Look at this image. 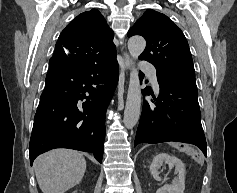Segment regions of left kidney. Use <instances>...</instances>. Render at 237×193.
I'll return each mask as SVG.
<instances>
[{"label":"left kidney","mask_w":237,"mask_h":193,"mask_svg":"<svg viewBox=\"0 0 237 193\" xmlns=\"http://www.w3.org/2000/svg\"><path fill=\"white\" fill-rule=\"evenodd\" d=\"M167 163L169 168L175 167V172L178 173V177L175 178L171 184H166L163 187L159 188L156 193H184L185 189V166L175 156H170L166 153L157 154L150 165V172L155 180L161 181L159 176L158 169Z\"/></svg>","instance_id":"left-kidney-1"}]
</instances>
